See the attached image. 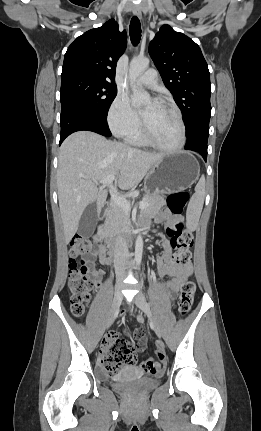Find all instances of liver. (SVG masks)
<instances>
[{
	"label": "liver",
	"mask_w": 261,
	"mask_h": 431,
	"mask_svg": "<svg viewBox=\"0 0 261 431\" xmlns=\"http://www.w3.org/2000/svg\"><path fill=\"white\" fill-rule=\"evenodd\" d=\"M164 154L147 153L89 131L73 133L59 150L57 189L66 243L78 230L86 207L102 208L107 197L98 189L109 175L118 178V187L129 190L140 182Z\"/></svg>",
	"instance_id": "liver-1"
}]
</instances>
